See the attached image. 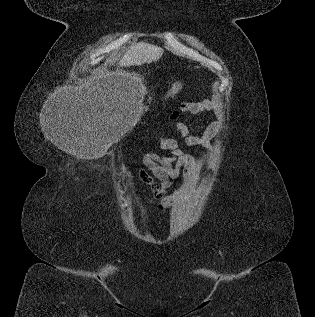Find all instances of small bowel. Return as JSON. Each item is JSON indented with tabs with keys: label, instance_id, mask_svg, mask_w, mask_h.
Wrapping results in <instances>:
<instances>
[{
	"label": "small bowel",
	"instance_id": "1",
	"mask_svg": "<svg viewBox=\"0 0 315 317\" xmlns=\"http://www.w3.org/2000/svg\"><path fill=\"white\" fill-rule=\"evenodd\" d=\"M207 111H217L216 103L211 100L183 102L179 110L170 114V128L179 133L186 146L212 150L211 141L223 126L221 120L211 122L201 136L191 134L184 123L177 121L180 113L201 117ZM155 139L159 142L161 149L169 151L170 155L162 157L153 152L145 153L142 162L146 169L140 168L138 176L151 188L152 198L148 200L156 201L158 209L166 211L186 191L187 185H182L171 195L167 194L168 189L180 174L186 177L190 175L194 161L191 155L181 150L175 139L160 136H156Z\"/></svg>",
	"mask_w": 315,
	"mask_h": 317
}]
</instances>
